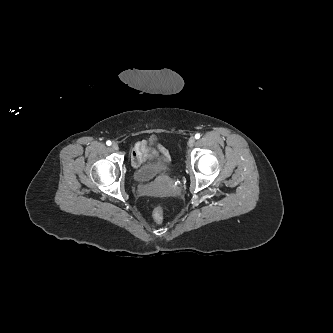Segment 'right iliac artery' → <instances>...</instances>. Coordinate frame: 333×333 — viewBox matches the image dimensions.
Instances as JSON below:
<instances>
[{
  "mask_svg": "<svg viewBox=\"0 0 333 333\" xmlns=\"http://www.w3.org/2000/svg\"><path fill=\"white\" fill-rule=\"evenodd\" d=\"M106 144H107L108 146H110L112 143H111V141H107Z\"/></svg>",
  "mask_w": 333,
  "mask_h": 333,
  "instance_id": "obj_1",
  "label": "right iliac artery"
}]
</instances>
